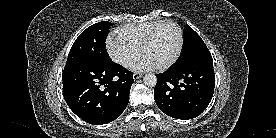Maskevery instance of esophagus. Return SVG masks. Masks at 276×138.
Segmentation results:
<instances>
[{"label": "esophagus", "instance_id": "34e87169", "mask_svg": "<svg viewBox=\"0 0 276 138\" xmlns=\"http://www.w3.org/2000/svg\"><path fill=\"white\" fill-rule=\"evenodd\" d=\"M142 77V74H140V73H134L133 74V79L134 80H137V79H139V78H141Z\"/></svg>", "mask_w": 276, "mask_h": 138}]
</instances>
